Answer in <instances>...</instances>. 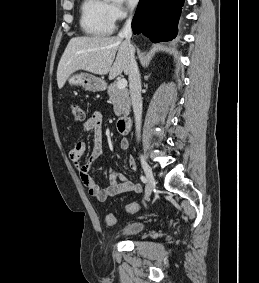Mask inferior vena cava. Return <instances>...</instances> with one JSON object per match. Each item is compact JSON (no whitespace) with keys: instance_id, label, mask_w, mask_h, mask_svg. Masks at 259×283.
Instances as JSON below:
<instances>
[{"instance_id":"602c4592","label":"inferior vena cava","mask_w":259,"mask_h":283,"mask_svg":"<svg viewBox=\"0 0 259 283\" xmlns=\"http://www.w3.org/2000/svg\"><path fill=\"white\" fill-rule=\"evenodd\" d=\"M118 36L124 39L130 51L129 65V88L132 101V107L135 117V127L137 139H140L141 123H142V98H141V79L137 62L134 56V48L131 45L130 39L132 36L131 19L129 18Z\"/></svg>"}]
</instances>
